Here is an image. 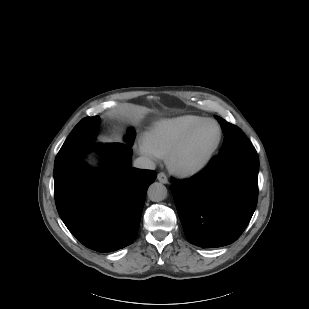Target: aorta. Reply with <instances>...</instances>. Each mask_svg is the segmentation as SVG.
Here are the masks:
<instances>
[{"mask_svg": "<svg viewBox=\"0 0 309 309\" xmlns=\"http://www.w3.org/2000/svg\"><path fill=\"white\" fill-rule=\"evenodd\" d=\"M148 197L151 201L160 202L167 198V188L159 182L152 183L148 188Z\"/></svg>", "mask_w": 309, "mask_h": 309, "instance_id": "1", "label": "aorta"}]
</instances>
